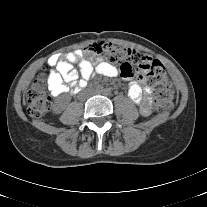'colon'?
I'll return each mask as SVG.
<instances>
[{
  "instance_id": "obj_1",
  "label": "colon",
  "mask_w": 207,
  "mask_h": 207,
  "mask_svg": "<svg viewBox=\"0 0 207 207\" xmlns=\"http://www.w3.org/2000/svg\"><path fill=\"white\" fill-rule=\"evenodd\" d=\"M88 52L91 55L97 54L108 61L120 65L123 77L130 78L136 71L143 73L141 77L151 87H156L154 93V105L158 110H169L173 105V91L171 82L166 73L164 65L139 52L114 43L100 42L92 45ZM26 107L30 116L41 117L51 105L49 93V77L45 70H42L33 81L26 94Z\"/></svg>"
}]
</instances>
